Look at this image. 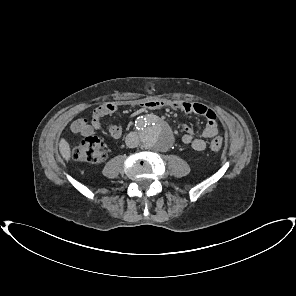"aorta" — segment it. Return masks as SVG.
Wrapping results in <instances>:
<instances>
[{"instance_id":"1","label":"aorta","mask_w":296,"mask_h":296,"mask_svg":"<svg viewBox=\"0 0 296 296\" xmlns=\"http://www.w3.org/2000/svg\"><path fill=\"white\" fill-rule=\"evenodd\" d=\"M140 140L142 144L151 150L165 152L173 144V133L169 126L158 120L154 115L140 118L137 121Z\"/></svg>"}]
</instances>
